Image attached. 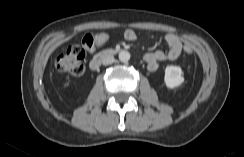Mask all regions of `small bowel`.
Instances as JSON below:
<instances>
[{
	"instance_id": "small-bowel-1",
	"label": "small bowel",
	"mask_w": 244,
	"mask_h": 157,
	"mask_svg": "<svg viewBox=\"0 0 244 157\" xmlns=\"http://www.w3.org/2000/svg\"><path fill=\"white\" fill-rule=\"evenodd\" d=\"M124 38L127 41L132 42L137 39V34L134 30L127 29L124 32ZM165 42L169 47V50L167 52L157 50L145 54L144 61L149 71L151 72L157 71L160 67V62L174 61L181 56L182 43L176 35L174 34L165 35Z\"/></svg>"
}]
</instances>
